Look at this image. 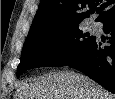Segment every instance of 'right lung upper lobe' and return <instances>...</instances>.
Wrapping results in <instances>:
<instances>
[{
	"instance_id": "1",
	"label": "right lung upper lobe",
	"mask_w": 115,
	"mask_h": 99,
	"mask_svg": "<svg viewBox=\"0 0 115 99\" xmlns=\"http://www.w3.org/2000/svg\"><path fill=\"white\" fill-rule=\"evenodd\" d=\"M91 9L82 11L83 9ZM97 9L100 21L115 11V0H40L38 11L27 37L49 33L88 18Z\"/></svg>"
}]
</instances>
